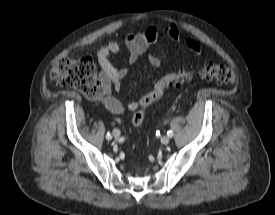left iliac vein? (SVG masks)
<instances>
[{"label": "left iliac vein", "mask_w": 275, "mask_h": 215, "mask_svg": "<svg viewBox=\"0 0 275 215\" xmlns=\"http://www.w3.org/2000/svg\"><path fill=\"white\" fill-rule=\"evenodd\" d=\"M160 141L162 144L167 145L170 141V138H169V136H163V137H161Z\"/></svg>", "instance_id": "1"}]
</instances>
